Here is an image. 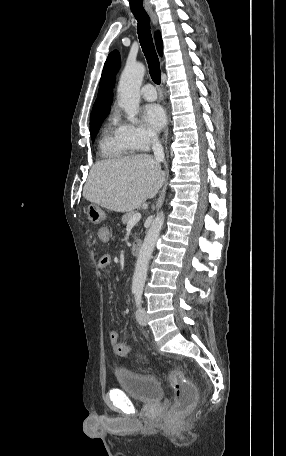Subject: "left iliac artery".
<instances>
[{
	"label": "left iliac artery",
	"instance_id": "left-iliac-artery-1",
	"mask_svg": "<svg viewBox=\"0 0 286 456\" xmlns=\"http://www.w3.org/2000/svg\"><path fill=\"white\" fill-rule=\"evenodd\" d=\"M134 293H135L136 305L139 306L141 304V300H142V291L141 290H137Z\"/></svg>",
	"mask_w": 286,
	"mask_h": 456
}]
</instances>
